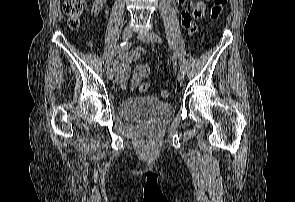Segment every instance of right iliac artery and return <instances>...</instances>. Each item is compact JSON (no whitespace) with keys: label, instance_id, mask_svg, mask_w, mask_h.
I'll use <instances>...</instances> for the list:
<instances>
[{"label":"right iliac artery","instance_id":"1","mask_svg":"<svg viewBox=\"0 0 295 202\" xmlns=\"http://www.w3.org/2000/svg\"><path fill=\"white\" fill-rule=\"evenodd\" d=\"M130 45H131L130 42H123V43H121L119 46H117V47H115V48L113 49V51L111 52L110 58H109L108 61H107V66H108V68H109V66H110L111 63H112L113 57H114L119 51L127 49Z\"/></svg>","mask_w":295,"mask_h":202}]
</instances>
